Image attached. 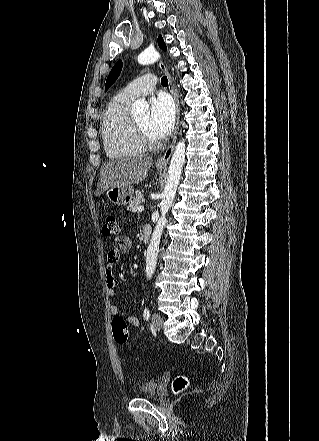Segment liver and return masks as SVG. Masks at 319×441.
I'll return each instance as SVG.
<instances>
[{"label":"liver","mask_w":319,"mask_h":441,"mask_svg":"<svg viewBox=\"0 0 319 441\" xmlns=\"http://www.w3.org/2000/svg\"><path fill=\"white\" fill-rule=\"evenodd\" d=\"M153 161L151 157H130L109 161L101 172L96 196L115 186L137 184L145 179Z\"/></svg>","instance_id":"1"}]
</instances>
